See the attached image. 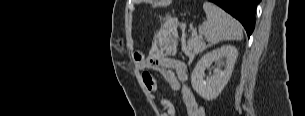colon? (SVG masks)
Instances as JSON below:
<instances>
[{"label":"colon","instance_id":"1","mask_svg":"<svg viewBox=\"0 0 305 116\" xmlns=\"http://www.w3.org/2000/svg\"><path fill=\"white\" fill-rule=\"evenodd\" d=\"M145 76H146V77H149V75H148L147 73L145 74Z\"/></svg>","mask_w":305,"mask_h":116}]
</instances>
